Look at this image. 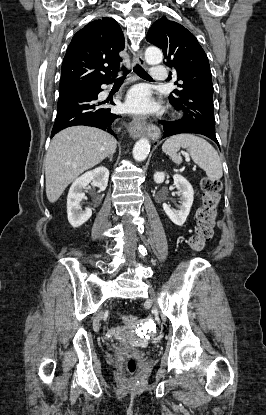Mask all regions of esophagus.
I'll use <instances>...</instances> for the list:
<instances>
[{
  "mask_svg": "<svg viewBox=\"0 0 266 415\" xmlns=\"http://www.w3.org/2000/svg\"><path fill=\"white\" fill-rule=\"evenodd\" d=\"M134 62L141 66H145V60L143 57L142 50H138L134 54ZM146 119H147L146 117H138V116L132 118L129 124V127H128V132L132 137L137 138L140 135H142V133L145 130Z\"/></svg>",
  "mask_w": 266,
  "mask_h": 415,
  "instance_id": "esophagus-1",
  "label": "esophagus"
}]
</instances>
